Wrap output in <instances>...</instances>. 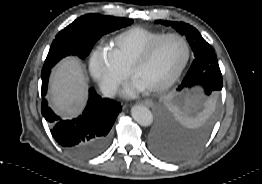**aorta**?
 I'll return each instance as SVG.
<instances>
[{
  "label": "aorta",
  "mask_w": 262,
  "mask_h": 184,
  "mask_svg": "<svg viewBox=\"0 0 262 184\" xmlns=\"http://www.w3.org/2000/svg\"><path fill=\"white\" fill-rule=\"evenodd\" d=\"M132 118L141 126H150L153 122L151 111L144 105H134L131 108Z\"/></svg>",
  "instance_id": "762f6f07"
}]
</instances>
